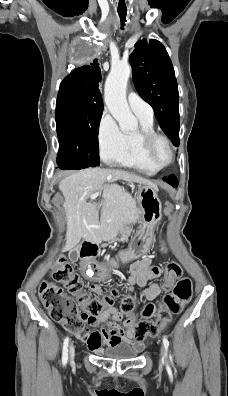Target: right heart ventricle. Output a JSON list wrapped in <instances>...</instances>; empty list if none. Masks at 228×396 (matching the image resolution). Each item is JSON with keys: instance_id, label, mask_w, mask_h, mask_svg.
Masks as SVG:
<instances>
[{"instance_id": "e07e8e85", "label": "right heart ventricle", "mask_w": 228, "mask_h": 396, "mask_svg": "<svg viewBox=\"0 0 228 396\" xmlns=\"http://www.w3.org/2000/svg\"><path fill=\"white\" fill-rule=\"evenodd\" d=\"M141 128L155 131L153 117L137 115ZM113 163L134 169L146 175H153L159 169L151 166L144 158L136 133L125 134V146Z\"/></svg>"}]
</instances>
